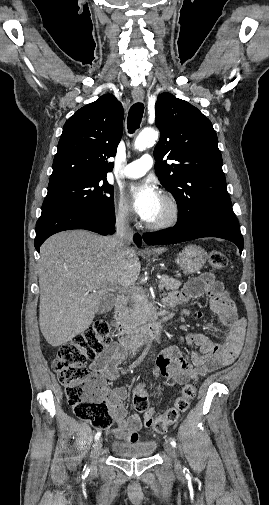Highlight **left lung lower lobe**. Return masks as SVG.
<instances>
[{"mask_svg":"<svg viewBox=\"0 0 269 505\" xmlns=\"http://www.w3.org/2000/svg\"><path fill=\"white\" fill-rule=\"evenodd\" d=\"M202 237H219L235 243L240 253L243 250V237L238 220L233 210L218 209L204 215L199 220L188 224H176L174 227L143 235L149 245L173 244Z\"/></svg>","mask_w":269,"mask_h":505,"instance_id":"obj_1","label":"left lung lower lobe"}]
</instances>
